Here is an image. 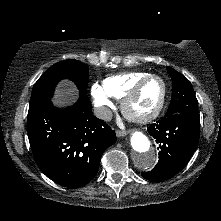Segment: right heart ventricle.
Wrapping results in <instances>:
<instances>
[{"instance_id":"1","label":"right heart ventricle","mask_w":221,"mask_h":221,"mask_svg":"<svg viewBox=\"0 0 221 221\" xmlns=\"http://www.w3.org/2000/svg\"><path fill=\"white\" fill-rule=\"evenodd\" d=\"M149 73L136 71L112 75L104 79L103 88L107 94L116 99H122L129 90Z\"/></svg>"}]
</instances>
